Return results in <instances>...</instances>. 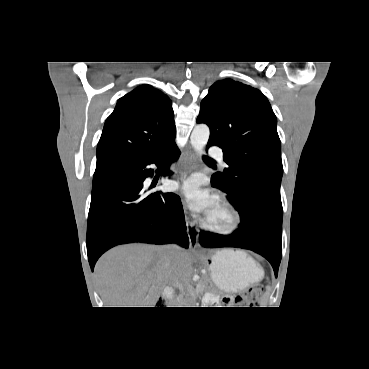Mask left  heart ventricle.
<instances>
[{"mask_svg":"<svg viewBox=\"0 0 369 369\" xmlns=\"http://www.w3.org/2000/svg\"><path fill=\"white\" fill-rule=\"evenodd\" d=\"M206 218L213 224L224 226L228 223V215L216 204L206 213Z\"/></svg>","mask_w":369,"mask_h":369,"instance_id":"left-heart-ventricle-1","label":"left heart ventricle"}]
</instances>
